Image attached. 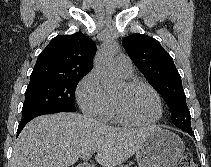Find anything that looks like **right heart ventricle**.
Returning <instances> with one entry per match:
<instances>
[{
  "label": "right heart ventricle",
  "mask_w": 211,
  "mask_h": 167,
  "mask_svg": "<svg viewBox=\"0 0 211 167\" xmlns=\"http://www.w3.org/2000/svg\"><path fill=\"white\" fill-rule=\"evenodd\" d=\"M126 78H128L129 76H124ZM107 120L109 121H112L116 124H124L115 114L114 110H113V106H112V102H111V108H110V111L108 113V116H107Z\"/></svg>",
  "instance_id": "obj_1"
}]
</instances>
